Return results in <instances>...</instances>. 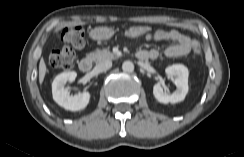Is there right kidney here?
Returning <instances> with one entry per match:
<instances>
[{
	"mask_svg": "<svg viewBox=\"0 0 244 157\" xmlns=\"http://www.w3.org/2000/svg\"><path fill=\"white\" fill-rule=\"evenodd\" d=\"M77 77L75 71L63 72L55 77L52 83V94L54 101L69 111H80L86 108L90 101V93L82 92L74 96L65 89L67 81L73 82Z\"/></svg>",
	"mask_w": 244,
	"mask_h": 157,
	"instance_id": "1",
	"label": "right kidney"
}]
</instances>
